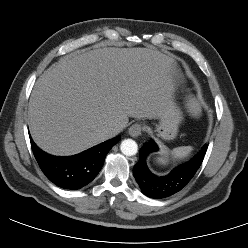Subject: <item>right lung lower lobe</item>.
<instances>
[{"instance_id": "1", "label": "right lung lower lobe", "mask_w": 248, "mask_h": 248, "mask_svg": "<svg viewBox=\"0 0 248 248\" xmlns=\"http://www.w3.org/2000/svg\"><path fill=\"white\" fill-rule=\"evenodd\" d=\"M120 139L117 136L70 157L49 155L37 147L31 138L30 141L34 156L46 177L58 187L77 190L97 176L107 153Z\"/></svg>"}]
</instances>
